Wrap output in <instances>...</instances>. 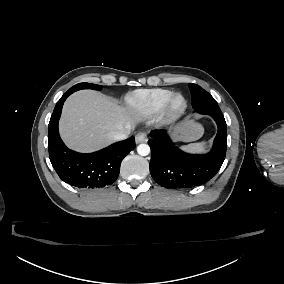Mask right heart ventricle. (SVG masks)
Returning a JSON list of instances; mask_svg holds the SVG:
<instances>
[{"label": "right heart ventricle", "instance_id": "obj_1", "mask_svg": "<svg viewBox=\"0 0 284 284\" xmlns=\"http://www.w3.org/2000/svg\"><path fill=\"white\" fill-rule=\"evenodd\" d=\"M174 93L167 88H151L133 91L126 96L127 106L134 115L148 118L157 114L164 101Z\"/></svg>", "mask_w": 284, "mask_h": 284}]
</instances>
